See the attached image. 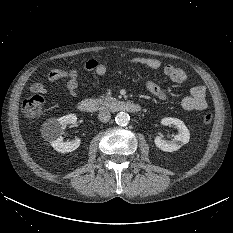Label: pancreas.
<instances>
[{
  "instance_id": "pancreas-1",
  "label": "pancreas",
  "mask_w": 233,
  "mask_h": 233,
  "mask_svg": "<svg viewBox=\"0 0 233 233\" xmlns=\"http://www.w3.org/2000/svg\"><path fill=\"white\" fill-rule=\"evenodd\" d=\"M103 100H106V101H109V100H112L113 98L109 95H103L101 96Z\"/></svg>"
}]
</instances>
